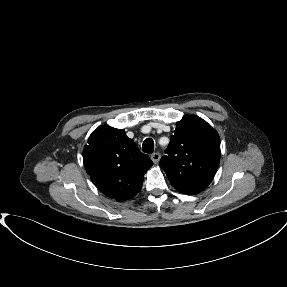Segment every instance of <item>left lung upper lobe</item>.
Segmentation results:
<instances>
[{
  "mask_svg": "<svg viewBox=\"0 0 287 287\" xmlns=\"http://www.w3.org/2000/svg\"><path fill=\"white\" fill-rule=\"evenodd\" d=\"M160 160L161 168L174 188L196 194L212 181L220 162V138L206 121L185 115Z\"/></svg>",
  "mask_w": 287,
  "mask_h": 287,
  "instance_id": "5c2ea615",
  "label": "left lung upper lobe"
}]
</instances>
